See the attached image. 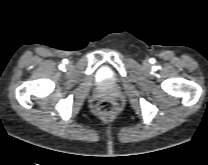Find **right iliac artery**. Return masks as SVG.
Segmentation results:
<instances>
[{
	"instance_id": "1",
	"label": "right iliac artery",
	"mask_w": 208,
	"mask_h": 165,
	"mask_svg": "<svg viewBox=\"0 0 208 165\" xmlns=\"http://www.w3.org/2000/svg\"><path fill=\"white\" fill-rule=\"evenodd\" d=\"M64 62L66 63V62H67V60H64ZM60 66H62V65H60Z\"/></svg>"
}]
</instances>
